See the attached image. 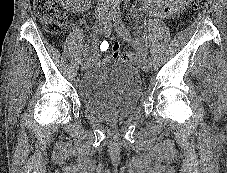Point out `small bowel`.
I'll list each match as a JSON object with an SVG mask.
<instances>
[{
    "label": "small bowel",
    "mask_w": 227,
    "mask_h": 173,
    "mask_svg": "<svg viewBox=\"0 0 227 173\" xmlns=\"http://www.w3.org/2000/svg\"><path fill=\"white\" fill-rule=\"evenodd\" d=\"M151 16L154 18H166L179 14L186 5V0H146ZM141 32V27L138 28ZM85 56L90 62L97 58L95 51L86 49Z\"/></svg>",
    "instance_id": "small-bowel-1"
}]
</instances>
